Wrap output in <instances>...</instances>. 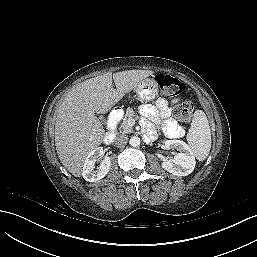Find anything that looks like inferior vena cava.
<instances>
[{
    "instance_id": "inferior-vena-cava-1",
    "label": "inferior vena cava",
    "mask_w": 257,
    "mask_h": 257,
    "mask_svg": "<svg viewBox=\"0 0 257 257\" xmlns=\"http://www.w3.org/2000/svg\"><path fill=\"white\" fill-rule=\"evenodd\" d=\"M128 142V136L127 135H119L115 138L114 140V144L117 146V147H123L127 144Z\"/></svg>"
}]
</instances>
